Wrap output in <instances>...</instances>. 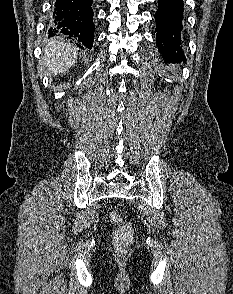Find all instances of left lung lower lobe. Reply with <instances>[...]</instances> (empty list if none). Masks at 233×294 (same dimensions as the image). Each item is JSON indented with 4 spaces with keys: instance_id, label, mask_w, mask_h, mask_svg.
I'll list each match as a JSON object with an SVG mask.
<instances>
[{
    "instance_id": "left-lung-lower-lobe-1",
    "label": "left lung lower lobe",
    "mask_w": 233,
    "mask_h": 294,
    "mask_svg": "<svg viewBox=\"0 0 233 294\" xmlns=\"http://www.w3.org/2000/svg\"><path fill=\"white\" fill-rule=\"evenodd\" d=\"M159 9L155 14L157 45L167 58H182L181 30L183 19V0H159Z\"/></svg>"
}]
</instances>
